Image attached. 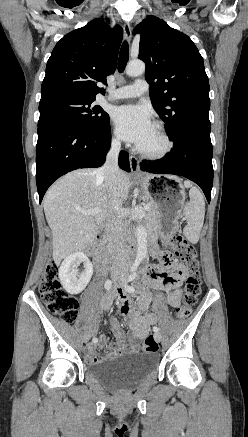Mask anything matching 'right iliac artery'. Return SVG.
<instances>
[{"label": "right iliac artery", "instance_id": "right-iliac-artery-1", "mask_svg": "<svg viewBox=\"0 0 248 437\" xmlns=\"http://www.w3.org/2000/svg\"><path fill=\"white\" fill-rule=\"evenodd\" d=\"M140 259L139 260H136L135 262H134V264L132 265V267H131V272H133V271H135L137 268H138V266H139V264H140ZM104 287H105V289L108 291V290H110L111 289V287H112V281L111 280H106L105 281V284H104ZM98 341V339L97 338H93L92 339V342L93 343H96Z\"/></svg>", "mask_w": 248, "mask_h": 437}]
</instances>
